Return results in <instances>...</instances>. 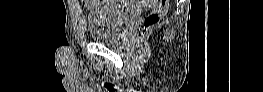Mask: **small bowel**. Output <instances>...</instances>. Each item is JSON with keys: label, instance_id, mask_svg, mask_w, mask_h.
<instances>
[{"label": "small bowel", "instance_id": "small-bowel-1", "mask_svg": "<svg viewBox=\"0 0 263 92\" xmlns=\"http://www.w3.org/2000/svg\"><path fill=\"white\" fill-rule=\"evenodd\" d=\"M142 2H144V1H142ZM145 3H147L149 6L154 5L153 2H145ZM93 4H96V1H94V0L93 1H85V6L87 9L92 8Z\"/></svg>", "mask_w": 263, "mask_h": 92}]
</instances>
